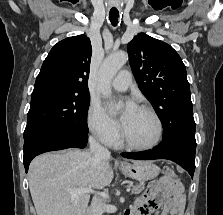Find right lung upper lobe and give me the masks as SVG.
<instances>
[{
    "label": "right lung upper lobe",
    "instance_id": "cb5924a9",
    "mask_svg": "<svg viewBox=\"0 0 223 215\" xmlns=\"http://www.w3.org/2000/svg\"><path fill=\"white\" fill-rule=\"evenodd\" d=\"M91 54L90 39L85 35L58 42L44 60L32 94L57 92L90 96L87 84Z\"/></svg>",
    "mask_w": 223,
    "mask_h": 215
}]
</instances>
